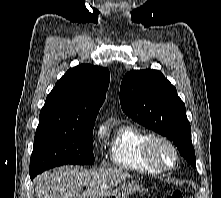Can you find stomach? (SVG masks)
Listing matches in <instances>:
<instances>
[{"label":"stomach","instance_id":"1","mask_svg":"<svg viewBox=\"0 0 221 198\" xmlns=\"http://www.w3.org/2000/svg\"><path fill=\"white\" fill-rule=\"evenodd\" d=\"M138 192H141L139 183L134 181H125L103 198H129Z\"/></svg>","mask_w":221,"mask_h":198}]
</instances>
